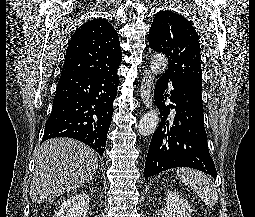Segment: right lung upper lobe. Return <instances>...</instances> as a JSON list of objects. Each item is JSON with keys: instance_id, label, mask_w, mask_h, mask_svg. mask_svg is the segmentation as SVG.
<instances>
[{"instance_id": "obj_1", "label": "right lung upper lobe", "mask_w": 255, "mask_h": 217, "mask_svg": "<svg viewBox=\"0 0 255 217\" xmlns=\"http://www.w3.org/2000/svg\"><path fill=\"white\" fill-rule=\"evenodd\" d=\"M122 60L119 37L105 19L82 24L69 42L61 75L107 74Z\"/></svg>"}]
</instances>
